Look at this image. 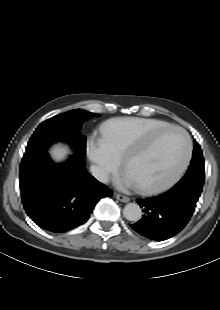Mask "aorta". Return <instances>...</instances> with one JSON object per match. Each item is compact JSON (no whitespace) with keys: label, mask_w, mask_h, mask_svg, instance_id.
<instances>
[{"label":"aorta","mask_w":220,"mask_h":310,"mask_svg":"<svg viewBox=\"0 0 220 310\" xmlns=\"http://www.w3.org/2000/svg\"><path fill=\"white\" fill-rule=\"evenodd\" d=\"M123 214L129 221L136 222L141 218L142 212L137 203H128L123 210Z\"/></svg>","instance_id":"1"}]
</instances>
